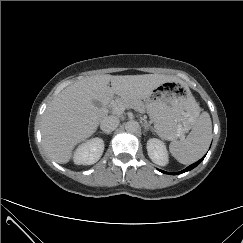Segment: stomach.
Returning a JSON list of instances; mask_svg holds the SVG:
<instances>
[{
  "label": "stomach",
  "mask_w": 243,
  "mask_h": 243,
  "mask_svg": "<svg viewBox=\"0 0 243 243\" xmlns=\"http://www.w3.org/2000/svg\"><path fill=\"white\" fill-rule=\"evenodd\" d=\"M198 104L188 87L163 83L147 98L146 108L154 129L165 140H176L191 129L198 115Z\"/></svg>",
  "instance_id": "0dacf381"
}]
</instances>
